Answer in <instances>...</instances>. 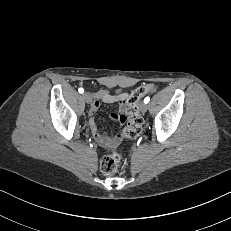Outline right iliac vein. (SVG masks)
Listing matches in <instances>:
<instances>
[{
  "label": "right iliac vein",
  "instance_id": "1",
  "mask_svg": "<svg viewBox=\"0 0 231 231\" xmlns=\"http://www.w3.org/2000/svg\"><path fill=\"white\" fill-rule=\"evenodd\" d=\"M83 99L85 100L86 103L90 104L92 102V96L90 93L85 92L83 93Z\"/></svg>",
  "mask_w": 231,
  "mask_h": 231
}]
</instances>
